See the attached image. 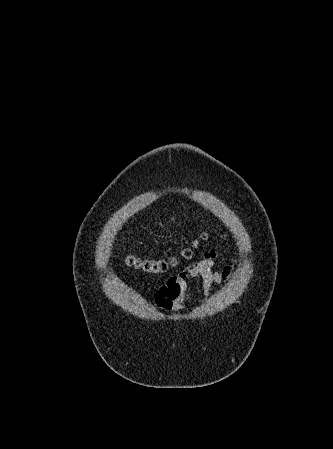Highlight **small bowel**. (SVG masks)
Instances as JSON below:
<instances>
[{
	"mask_svg": "<svg viewBox=\"0 0 333 449\" xmlns=\"http://www.w3.org/2000/svg\"><path fill=\"white\" fill-rule=\"evenodd\" d=\"M215 257L214 252L205 253L202 260L169 277L166 284L156 291L152 306L166 313L182 310L197 280L201 281L205 295L211 297L213 287L220 286L228 280L233 270L232 263L222 270H214Z\"/></svg>",
	"mask_w": 333,
	"mask_h": 449,
	"instance_id": "1",
	"label": "small bowel"
}]
</instances>
